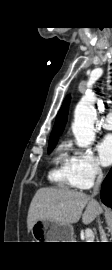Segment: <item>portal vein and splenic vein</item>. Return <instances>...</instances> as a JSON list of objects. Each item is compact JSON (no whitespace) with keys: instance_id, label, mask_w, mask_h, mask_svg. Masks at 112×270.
I'll list each match as a JSON object with an SVG mask.
<instances>
[{"instance_id":"1","label":"portal vein and splenic vein","mask_w":112,"mask_h":270,"mask_svg":"<svg viewBox=\"0 0 112 270\" xmlns=\"http://www.w3.org/2000/svg\"><path fill=\"white\" fill-rule=\"evenodd\" d=\"M85 239H86V242L94 241V233L90 228L85 229Z\"/></svg>"}]
</instances>
